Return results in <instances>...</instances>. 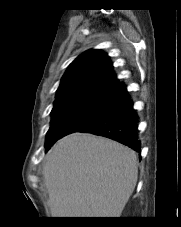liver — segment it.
Here are the masks:
<instances>
[{"label": "liver", "instance_id": "obj_1", "mask_svg": "<svg viewBox=\"0 0 181 227\" xmlns=\"http://www.w3.org/2000/svg\"><path fill=\"white\" fill-rule=\"evenodd\" d=\"M52 217H120L137 183V155L113 140L74 133L42 169Z\"/></svg>", "mask_w": 181, "mask_h": 227}]
</instances>
